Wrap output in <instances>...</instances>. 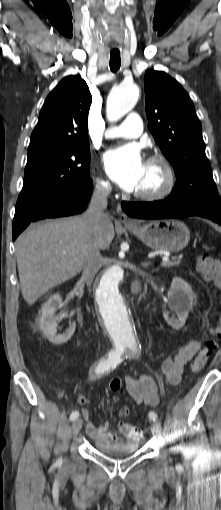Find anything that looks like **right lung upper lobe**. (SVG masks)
<instances>
[{
	"label": "right lung upper lobe",
	"mask_w": 221,
	"mask_h": 510,
	"mask_svg": "<svg viewBox=\"0 0 221 510\" xmlns=\"http://www.w3.org/2000/svg\"><path fill=\"white\" fill-rule=\"evenodd\" d=\"M91 102L88 85L78 75L61 80L41 109L28 155L89 144L87 120Z\"/></svg>",
	"instance_id": "obj_1"
}]
</instances>
